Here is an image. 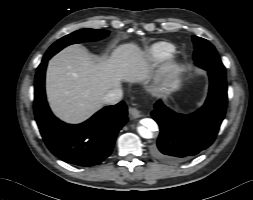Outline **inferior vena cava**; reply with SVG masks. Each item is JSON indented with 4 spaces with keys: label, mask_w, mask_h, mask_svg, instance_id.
<instances>
[{
    "label": "inferior vena cava",
    "mask_w": 253,
    "mask_h": 200,
    "mask_svg": "<svg viewBox=\"0 0 253 200\" xmlns=\"http://www.w3.org/2000/svg\"><path fill=\"white\" fill-rule=\"evenodd\" d=\"M123 92L120 88H115L106 93L103 97V101L106 104L114 105L121 101Z\"/></svg>",
    "instance_id": "inferior-vena-cava-1"
}]
</instances>
